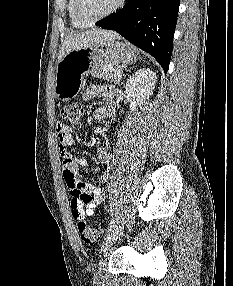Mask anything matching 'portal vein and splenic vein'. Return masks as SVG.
<instances>
[{
    "instance_id": "obj_1",
    "label": "portal vein and splenic vein",
    "mask_w": 233,
    "mask_h": 286,
    "mask_svg": "<svg viewBox=\"0 0 233 286\" xmlns=\"http://www.w3.org/2000/svg\"><path fill=\"white\" fill-rule=\"evenodd\" d=\"M116 76H117L118 78H121V77H122V73H121V72H117Z\"/></svg>"
}]
</instances>
